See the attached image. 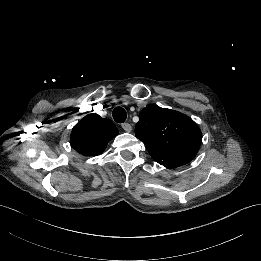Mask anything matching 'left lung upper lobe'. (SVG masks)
Masks as SVG:
<instances>
[{"label": "left lung upper lobe", "instance_id": "1", "mask_svg": "<svg viewBox=\"0 0 261 261\" xmlns=\"http://www.w3.org/2000/svg\"><path fill=\"white\" fill-rule=\"evenodd\" d=\"M135 135L152 158L167 168L192 161L202 140L200 129L190 117L157 105H148L140 112Z\"/></svg>", "mask_w": 261, "mask_h": 261}]
</instances>
